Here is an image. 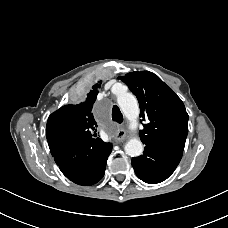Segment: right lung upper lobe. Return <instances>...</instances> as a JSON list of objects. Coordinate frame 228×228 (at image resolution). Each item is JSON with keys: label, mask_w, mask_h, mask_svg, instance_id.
<instances>
[{"label": "right lung upper lobe", "mask_w": 228, "mask_h": 228, "mask_svg": "<svg viewBox=\"0 0 228 228\" xmlns=\"http://www.w3.org/2000/svg\"><path fill=\"white\" fill-rule=\"evenodd\" d=\"M101 83L99 81L93 85L81 103L65 105L49 116L46 125L49 146L75 140L100 139L96 134L97 123L92 108Z\"/></svg>", "instance_id": "cb5924a9"}]
</instances>
